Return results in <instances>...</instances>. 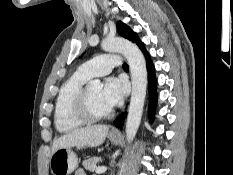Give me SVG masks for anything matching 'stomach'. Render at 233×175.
Masks as SVG:
<instances>
[{"label":"stomach","mask_w":233,"mask_h":175,"mask_svg":"<svg viewBox=\"0 0 233 175\" xmlns=\"http://www.w3.org/2000/svg\"><path fill=\"white\" fill-rule=\"evenodd\" d=\"M109 139L117 144L119 136L109 135ZM78 166V159L71 148H59L52 153L50 158V169L53 175H69Z\"/></svg>","instance_id":"0dacf381"}]
</instances>
